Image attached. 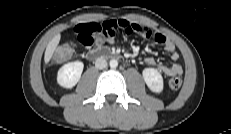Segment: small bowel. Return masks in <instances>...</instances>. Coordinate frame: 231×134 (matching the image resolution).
Wrapping results in <instances>:
<instances>
[{
	"label": "small bowel",
	"mask_w": 231,
	"mask_h": 134,
	"mask_svg": "<svg viewBox=\"0 0 231 134\" xmlns=\"http://www.w3.org/2000/svg\"><path fill=\"white\" fill-rule=\"evenodd\" d=\"M117 29L125 31L127 34H138L143 38L152 40L156 44L164 47L170 54L172 64L169 66L160 65L159 70L166 76H178L183 72L180 56L175 44L164 34L154 31L144 25L130 22L126 19L106 20L102 23H82L74 27L73 32L76 40L86 48L93 45L100 46L104 42L113 43ZM145 63L154 67L156 62L153 58L147 57Z\"/></svg>",
	"instance_id": "1"
}]
</instances>
